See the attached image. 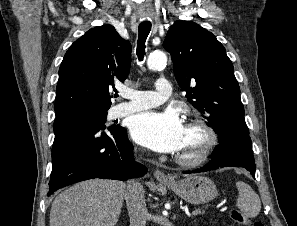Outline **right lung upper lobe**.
<instances>
[{
    "label": "right lung upper lobe",
    "mask_w": 297,
    "mask_h": 226,
    "mask_svg": "<svg viewBox=\"0 0 297 226\" xmlns=\"http://www.w3.org/2000/svg\"><path fill=\"white\" fill-rule=\"evenodd\" d=\"M131 44L112 25L97 26L66 52L56 87V118L79 111L108 110L109 86L130 71Z\"/></svg>",
    "instance_id": "obj_1"
}]
</instances>
